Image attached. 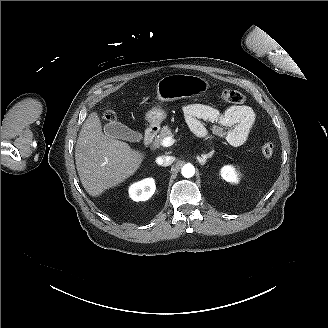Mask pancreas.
<instances>
[{"instance_id": "pancreas-1", "label": "pancreas", "mask_w": 328, "mask_h": 328, "mask_svg": "<svg viewBox=\"0 0 328 328\" xmlns=\"http://www.w3.org/2000/svg\"><path fill=\"white\" fill-rule=\"evenodd\" d=\"M166 137H173V134L171 132V129L168 126H163L159 135L155 138V140L153 142L154 145L157 147H160L163 139ZM211 153L213 155L214 151H211Z\"/></svg>"}]
</instances>
